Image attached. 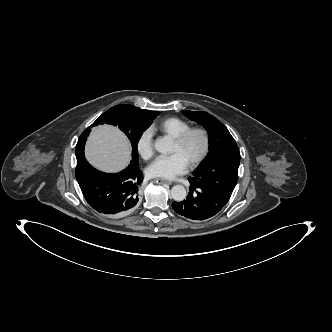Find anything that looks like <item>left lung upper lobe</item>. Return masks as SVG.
Segmentation results:
<instances>
[{"mask_svg":"<svg viewBox=\"0 0 332 332\" xmlns=\"http://www.w3.org/2000/svg\"><path fill=\"white\" fill-rule=\"evenodd\" d=\"M201 124L209 134L210 151L193 172L190 180L229 200L238 180L239 148L228 129L215 117L203 111H183Z\"/></svg>","mask_w":332,"mask_h":332,"instance_id":"left-lung-upper-lobe-1","label":"left lung upper lobe"}]
</instances>
